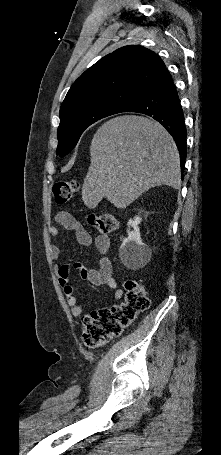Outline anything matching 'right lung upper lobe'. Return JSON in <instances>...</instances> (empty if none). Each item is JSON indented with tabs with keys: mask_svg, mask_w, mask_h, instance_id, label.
Masks as SVG:
<instances>
[{
	"mask_svg": "<svg viewBox=\"0 0 221 455\" xmlns=\"http://www.w3.org/2000/svg\"><path fill=\"white\" fill-rule=\"evenodd\" d=\"M165 69L161 58L142 46H125L106 55L86 70L71 86L60 116L98 102L125 107L144 95Z\"/></svg>",
	"mask_w": 221,
	"mask_h": 455,
	"instance_id": "1",
	"label": "right lung upper lobe"
}]
</instances>
